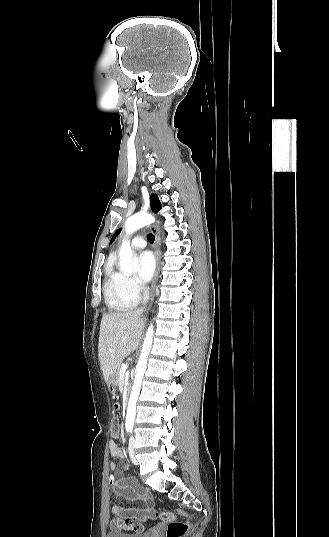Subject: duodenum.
I'll return each mask as SVG.
<instances>
[{"label":"duodenum","instance_id":"duodenum-1","mask_svg":"<svg viewBox=\"0 0 329 537\" xmlns=\"http://www.w3.org/2000/svg\"><path fill=\"white\" fill-rule=\"evenodd\" d=\"M124 401H125V403H127V401H128V394L125 395Z\"/></svg>","mask_w":329,"mask_h":537}]
</instances>
